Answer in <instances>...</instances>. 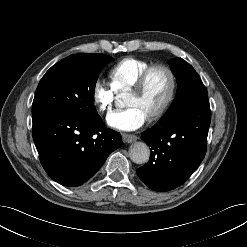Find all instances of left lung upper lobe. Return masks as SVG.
<instances>
[{"mask_svg": "<svg viewBox=\"0 0 247 247\" xmlns=\"http://www.w3.org/2000/svg\"><path fill=\"white\" fill-rule=\"evenodd\" d=\"M171 70L177 78V94L166 114L176 113L182 110L187 104L200 96H208L207 90L201 78L182 58H174L169 62Z\"/></svg>", "mask_w": 247, "mask_h": 247, "instance_id": "5c2ea615", "label": "left lung upper lobe"}]
</instances>
